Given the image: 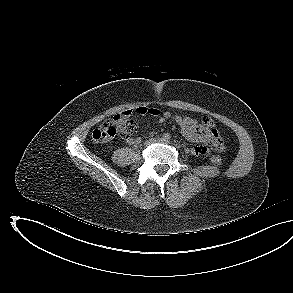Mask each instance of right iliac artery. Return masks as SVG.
Masks as SVG:
<instances>
[{
  "label": "right iliac artery",
  "mask_w": 293,
  "mask_h": 293,
  "mask_svg": "<svg viewBox=\"0 0 293 293\" xmlns=\"http://www.w3.org/2000/svg\"><path fill=\"white\" fill-rule=\"evenodd\" d=\"M170 135L168 134V133H164L163 135H162V139L163 140H165V141H169L170 140Z\"/></svg>",
  "instance_id": "82829eb1"
}]
</instances>
